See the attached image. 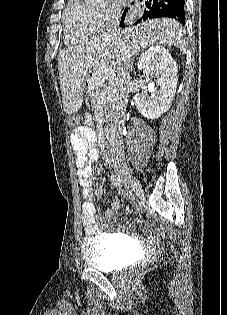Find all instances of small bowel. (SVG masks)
Masks as SVG:
<instances>
[{
  "mask_svg": "<svg viewBox=\"0 0 227 315\" xmlns=\"http://www.w3.org/2000/svg\"><path fill=\"white\" fill-rule=\"evenodd\" d=\"M70 143L75 156L78 181L83 188V196L86 199L82 204L81 212L83 230L88 235H95L100 232L96 208L92 202L93 164L99 158L97 136L85 124L71 133ZM120 208L121 203L118 200H114L111 208L106 211L105 216L108 219L115 218ZM140 225L142 224L140 223Z\"/></svg>",
  "mask_w": 227,
  "mask_h": 315,
  "instance_id": "obj_1",
  "label": "small bowel"
}]
</instances>
